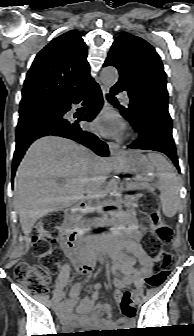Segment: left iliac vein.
Listing matches in <instances>:
<instances>
[{
    "label": "left iliac vein",
    "instance_id": "1",
    "mask_svg": "<svg viewBox=\"0 0 194 336\" xmlns=\"http://www.w3.org/2000/svg\"><path fill=\"white\" fill-rule=\"evenodd\" d=\"M134 295V303L135 304H140V298L137 296V294L135 292H133Z\"/></svg>",
    "mask_w": 194,
    "mask_h": 336
}]
</instances>
